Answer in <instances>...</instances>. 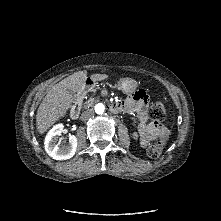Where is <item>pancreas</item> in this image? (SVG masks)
<instances>
[{"label":"pancreas","instance_id":"1","mask_svg":"<svg viewBox=\"0 0 221 221\" xmlns=\"http://www.w3.org/2000/svg\"><path fill=\"white\" fill-rule=\"evenodd\" d=\"M96 97H91L85 104H84V107L86 109H89L95 102H96Z\"/></svg>","mask_w":221,"mask_h":221}]
</instances>
